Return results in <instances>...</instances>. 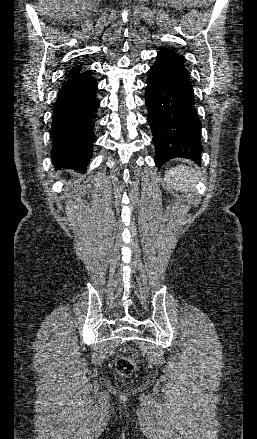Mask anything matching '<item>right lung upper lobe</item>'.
Wrapping results in <instances>:
<instances>
[{
    "label": "right lung upper lobe",
    "instance_id": "1",
    "mask_svg": "<svg viewBox=\"0 0 257 439\" xmlns=\"http://www.w3.org/2000/svg\"><path fill=\"white\" fill-rule=\"evenodd\" d=\"M81 67L78 65L77 67H75L69 75H67V78H70L78 73H80Z\"/></svg>",
    "mask_w": 257,
    "mask_h": 439
}]
</instances>
